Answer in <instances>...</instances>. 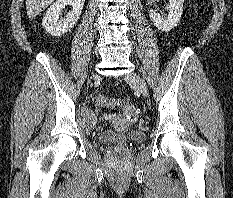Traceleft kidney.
Instances as JSON below:
<instances>
[{
  "label": "left kidney",
  "instance_id": "1",
  "mask_svg": "<svg viewBox=\"0 0 233 198\" xmlns=\"http://www.w3.org/2000/svg\"><path fill=\"white\" fill-rule=\"evenodd\" d=\"M184 0H169L167 6L168 15L167 17H161L156 11L150 10L149 16L154 25L161 31H170L180 21Z\"/></svg>",
  "mask_w": 233,
  "mask_h": 198
}]
</instances>
